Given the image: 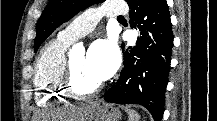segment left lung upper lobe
<instances>
[{"label":"left lung upper lobe","instance_id":"5c2ea615","mask_svg":"<svg viewBox=\"0 0 217 121\" xmlns=\"http://www.w3.org/2000/svg\"><path fill=\"white\" fill-rule=\"evenodd\" d=\"M104 0H50L44 9L38 23L34 43V51L62 23L71 19L80 10Z\"/></svg>","mask_w":217,"mask_h":121}]
</instances>
